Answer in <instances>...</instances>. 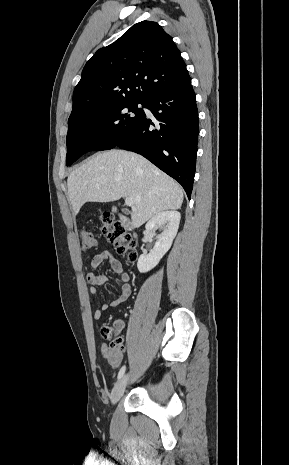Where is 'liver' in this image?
<instances>
[{"label": "liver", "mask_w": 289, "mask_h": 465, "mask_svg": "<svg viewBox=\"0 0 289 465\" xmlns=\"http://www.w3.org/2000/svg\"><path fill=\"white\" fill-rule=\"evenodd\" d=\"M75 215L86 202H111L131 197V223L138 228L156 213L179 209L180 185L147 159L124 150L97 153L67 179Z\"/></svg>", "instance_id": "6515ba94"}]
</instances>
